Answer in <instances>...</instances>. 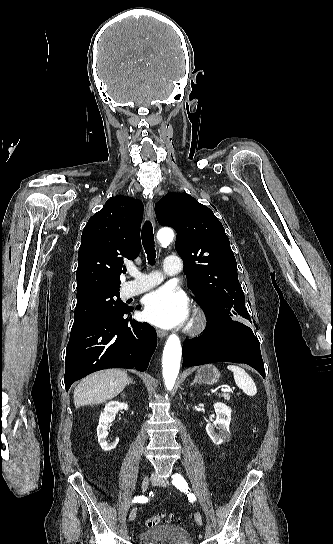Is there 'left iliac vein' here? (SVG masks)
<instances>
[{
  "instance_id": "4c4485c4",
  "label": "left iliac vein",
  "mask_w": 333,
  "mask_h": 544,
  "mask_svg": "<svg viewBox=\"0 0 333 544\" xmlns=\"http://www.w3.org/2000/svg\"><path fill=\"white\" fill-rule=\"evenodd\" d=\"M152 482L155 484V485H158V486H163V487H166L169 485L167 479H164V478H158V477H154L152 479ZM195 521L198 525H202V516L199 512H196L195 513Z\"/></svg>"
}]
</instances>
